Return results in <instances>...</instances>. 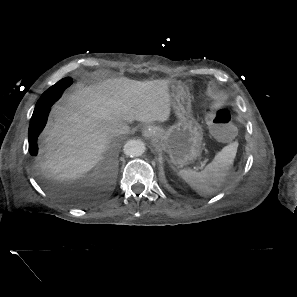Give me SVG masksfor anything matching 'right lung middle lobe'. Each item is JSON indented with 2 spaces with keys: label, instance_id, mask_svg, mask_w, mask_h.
I'll use <instances>...</instances> for the list:
<instances>
[{
  "label": "right lung middle lobe",
  "instance_id": "obj_1",
  "mask_svg": "<svg viewBox=\"0 0 297 297\" xmlns=\"http://www.w3.org/2000/svg\"><path fill=\"white\" fill-rule=\"evenodd\" d=\"M71 83H72V79L67 77L60 80L55 85L51 86L38 100V102H40L39 108L41 107L42 109L44 105L48 103H53L57 99H59L64 89L69 85H71Z\"/></svg>",
  "mask_w": 297,
  "mask_h": 297
}]
</instances>
